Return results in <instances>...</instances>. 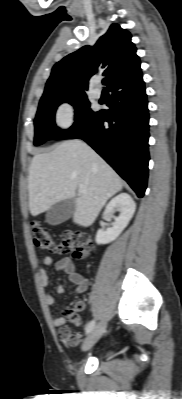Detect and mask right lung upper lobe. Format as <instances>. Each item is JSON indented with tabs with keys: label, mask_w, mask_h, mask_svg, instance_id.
I'll list each match as a JSON object with an SVG mask.
<instances>
[{
	"label": "right lung upper lobe",
	"mask_w": 182,
	"mask_h": 399,
	"mask_svg": "<svg viewBox=\"0 0 182 399\" xmlns=\"http://www.w3.org/2000/svg\"><path fill=\"white\" fill-rule=\"evenodd\" d=\"M103 69L108 87L141 73L131 34L112 24L93 47L84 46L56 63L41 100L64 95H86L89 78Z\"/></svg>",
	"instance_id": "cb5924a9"
}]
</instances>
